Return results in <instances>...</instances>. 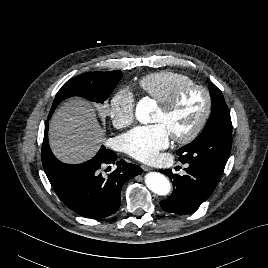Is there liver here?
Here are the masks:
<instances>
[{"mask_svg":"<svg viewBox=\"0 0 268 268\" xmlns=\"http://www.w3.org/2000/svg\"><path fill=\"white\" fill-rule=\"evenodd\" d=\"M105 141L93 106L82 99L65 102L53 115L49 145L62 162L78 164L91 159Z\"/></svg>","mask_w":268,"mask_h":268,"instance_id":"liver-1","label":"liver"}]
</instances>
